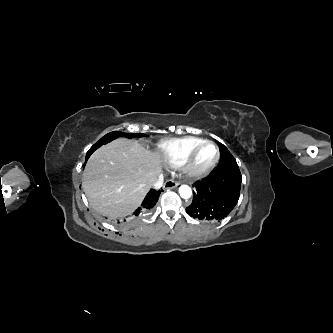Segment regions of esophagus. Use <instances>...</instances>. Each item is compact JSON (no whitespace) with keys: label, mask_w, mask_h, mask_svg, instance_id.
<instances>
[{"label":"esophagus","mask_w":333,"mask_h":333,"mask_svg":"<svg viewBox=\"0 0 333 333\" xmlns=\"http://www.w3.org/2000/svg\"><path fill=\"white\" fill-rule=\"evenodd\" d=\"M180 183L179 182H176L174 180H167L164 184V189H173V188H176L177 186H179Z\"/></svg>","instance_id":"34e87169"}]
</instances>
